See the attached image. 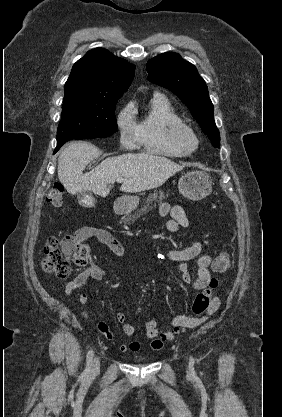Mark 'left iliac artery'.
I'll return each mask as SVG.
<instances>
[{
  "mask_svg": "<svg viewBox=\"0 0 282 417\" xmlns=\"http://www.w3.org/2000/svg\"><path fill=\"white\" fill-rule=\"evenodd\" d=\"M189 363L192 364V365L195 363V360H194V358L192 356L189 359Z\"/></svg>",
  "mask_w": 282,
  "mask_h": 417,
  "instance_id": "1",
  "label": "left iliac artery"
}]
</instances>
